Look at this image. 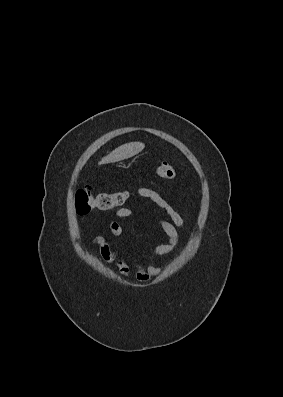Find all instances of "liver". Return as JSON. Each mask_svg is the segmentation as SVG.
Returning a JSON list of instances; mask_svg holds the SVG:
<instances>
[{"label": "liver", "instance_id": "1", "mask_svg": "<svg viewBox=\"0 0 283 397\" xmlns=\"http://www.w3.org/2000/svg\"><path fill=\"white\" fill-rule=\"evenodd\" d=\"M145 145L141 142H130L123 144L113 150L110 154L103 157L99 164H108L118 162L135 156L144 149Z\"/></svg>", "mask_w": 283, "mask_h": 397}]
</instances>
